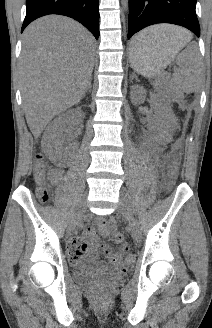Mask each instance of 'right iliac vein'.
Instances as JSON below:
<instances>
[{"instance_id": "1", "label": "right iliac vein", "mask_w": 212, "mask_h": 328, "mask_svg": "<svg viewBox=\"0 0 212 328\" xmlns=\"http://www.w3.org/2000/svg\"><path fill=\"white\" fill-rule=\"evenodd\" d=\"M85 208H86V199H82L77 207V210L72 218V220L70 221V224H69V233L73 232V230L75 229L78 221L80 220V218L82 217L84 211H85Z\"/></svg>"}]
</instances>
